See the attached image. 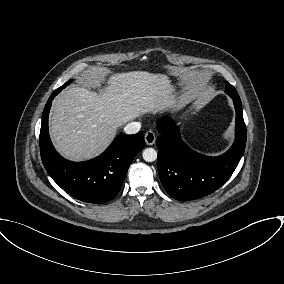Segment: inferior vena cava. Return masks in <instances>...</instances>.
I'll use <instances>...</instances> for the list:
<instances>
[{"mask_svg": "<svg viewBox=\"0 0 284 284\" xmlns=\"http://www.w3.org/2000/svg\"><path fill=\"white\" fill-rule=\"evenodd\" d=\"M140 128V122H130L124 127V132L126 134H136L137 132H139Z\"/></svg>", "mask_w": 284, "mask_h": 284, "instance_id": "602c4592", "label": "inferior vena cava"}]
</instances>
